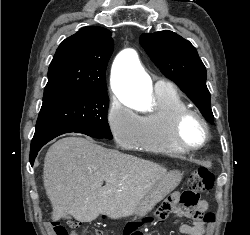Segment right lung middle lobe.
<instances>
[{
    "label": "right lung middle lobe",
    "mask_w": 250,
    "mask_h": 235,
    "mask_svg": "<svg viewBox=\"0 0 250 235\" xmlns=\"http://www.w3.org/2000/svg\"><path fill=\"white\" fill-rule=\"evenodd\" d=\"M108 103L107 89L65 91L43 97L36 129L64 125L112 139L107 122Z\"/></svg>",
    "instance_id": "obj_1"
}]
</instances>
